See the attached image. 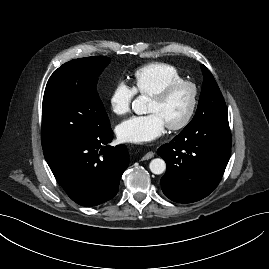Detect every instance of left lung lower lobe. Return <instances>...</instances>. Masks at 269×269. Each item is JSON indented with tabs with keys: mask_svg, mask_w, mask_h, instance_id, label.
<instances>
[{
	"mask_svg": "<svg viewBox=\"0 0 269 269\" xmlns=\"http://www.w3.org/2000/svg\"><path fill=\"white\" fill-rule=\"evenodd\" d=\"M167 163L161 188L178 203H192L208 196L219 184L231 154L228 121L184 128L158 151Z\"/></svg>",
	"mask_w": 269,
	"mask_h": 269,
	"instance_id": "left-lung-lower-lobe-1",
	"label": "left lung lower lobe"
}]
</instances>
